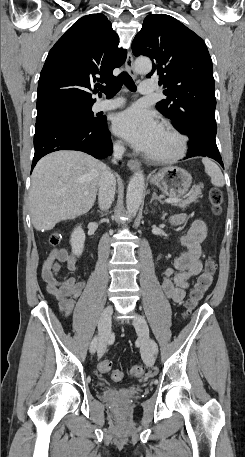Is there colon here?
<instances>
[{
    "mask_svg": "<svg viewBox=\"0 0 245 457\" xmlns=\"http://www.w3.org/2000/svg\"><path fill=\"white\" fill-rule=\"evenodd\" d=\"M209 201L212 205V210L215 215H219L221 212V204L223 201L222 193L218 189H212L209 194ZM62 239V234L59 231L53 232L49 237V243L51 245H57ZM217 269V264L213 258H208L203 271L198 276L193 288L189 293V297L186 303L187 312H191L197 304L204 298L207 291L210 289L214 275ZM98 369L100 372L108 373L111 372V378L114 381H120L123 377V373L120 370L111 371V362L108 359H103L98 363ZM144 367L141 364L132 365L129 370V376L134 379H140L144 375Z\"/></svg>",
    "mask_w": 245,
    "mask_h": 457,
    "instance_id": "colon-1",
    "label": "colon"
}]
</instances>
